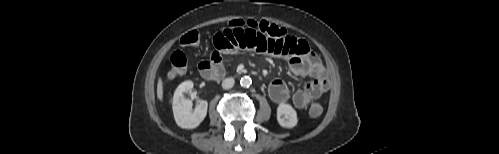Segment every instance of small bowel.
<instances>
[{
  "label": "small bowel",
  "instance_id": "c3829d8e",
  "mask_svg": "<svg viewBox=\"0 0 499 154\" xmlns=\"http://www.w3.org/2000/svg\"><path fill=\"white\" fill-rule=\"evenodd\" d=\"M213 42L215 51L210 60L199 64L200 73L207 80L215 79L218 73H224L223 54L246 50L286 58L294 75L310 78V82L293 94L283 80H272L268 91L271 99L277 104L291 99L296 108L303 109L330 88L325 67L305 40L289 35L274 38L253 28L229 27L217 32Z\"/></svg>",
  "mask_w": 499,
  "mask_h": 154
}]
</instances>
